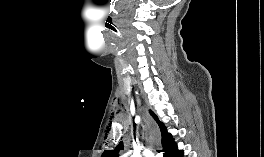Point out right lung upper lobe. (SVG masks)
<instances>
[{
    "mask_svg": "<svg viewBox=\"0 0 264 157\" xmlns=\"http://www.w3.org/2000/svg\"><path fill=\"white\" fill-rule=\"evenodd\" d=\"M150 113L153 116V118H155V120L157 121L159 128L161 130L162 146H163L162 151H164V149H166L173 142L172 135L167 132L164 124L158 120L157 116L152 111H150ZM120 150H123L122 141L117 145V147L114 150H105L101 157H118V153Z\"/></svg>",
    "mask_w": 264,
    "mask_h": 157,
    "instance_id": "cb5924a9",
    "label": "right lung upper lobe"
}]
</instances>
